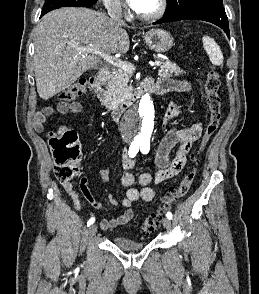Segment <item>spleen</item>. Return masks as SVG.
<instances>
[{
	"mask_svg": "<svg viewBox=\"0 0 259 294\" xmlns=\"http://www.w3.org/2000/svg\"><path fill=\"white\" fill-rule=\"evenodd\" d=\"M202 42L211 63L216 66H221L223 64V54L219 45L215 42L213 38L209 36H203Z\"/></svg>",
	"mask_w": 259,
	"mask_h": 294,
	"instance_id": "1",
	"label": "spleen"
}]
</instances>
